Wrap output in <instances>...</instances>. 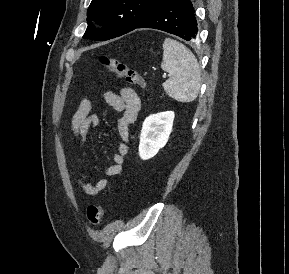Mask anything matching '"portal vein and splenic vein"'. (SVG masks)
I'll return each instance as SVG.
<instances>
[{"label":"portal vein and splenic vein","instance_id":"1","mask_svg":"<svg viewBox=\"0 0 289 274\" xmlns=\"http://www.w3.org/2000/svg\"><path fill=\"white\" fill-rule=\"evenodd\" d=\"M163 77H164V78H166V77H167V75H166V74H164V75H163Z\"/></svg>","mask_w":289,"mask_h":274}]
</instances>
